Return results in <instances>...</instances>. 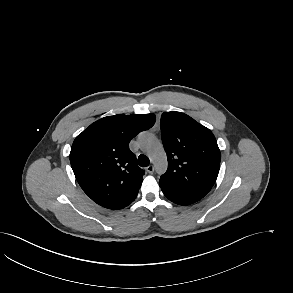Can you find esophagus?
<instances>
[{
  "instance_id": "obj_1",
  "label": "esophagus",
  "mask_w": 293,
  "mask_h": 293,
  "mask_svg": "<svg viewBox=\"0 0 293 293\" xmlns=\"http://www.w3.org/2000/svg\"><path fill=\"white\" fill-rule=\"evenodd\" d=\"M146 171L149 173V174H152L154 172V166L153 165H149L147 168H146Z\"/></svg>"
}]
</instances>
